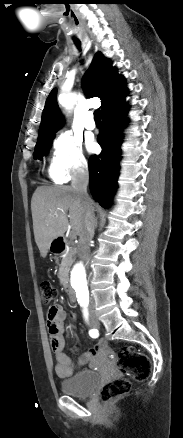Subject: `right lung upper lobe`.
Here are the masks:
<instances>
[{"instance_id": "cb5924a9", "label": "right lung upper lobe", "mask_w": 183, "mask_h": 438, "mask_svg": "<svg viewBox=\"0 0 183 438\" xmlns=\"http://www.w3.org/2000/svg\"><path fill=\"white\" fill-rule=\"evenodd\" d=\"M124 77L117 74L110 60L97 52L89 67L88 77L83 80V87L90 97H99L102 100L101 113L125 99L126 90ZM57 90L53 89L45 103L39 128V136L55 133L63 124V118L56 101Z\"/></svg>"}]
</instances>
